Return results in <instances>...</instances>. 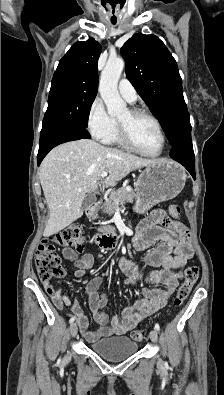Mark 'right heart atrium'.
I'll return each mask as SVG.
<instances>
[{"mask_svg":"<svg viewBox=\"0 0 224 395\" xmlns=\"http://www.w3.org/2000/svg\"><path fill=\"white\" fill-rule=\"evenodd\" d=\"M87 127L97 140H103L110 135L115 127V119L111 117L101 98L96 97L87 112Z\"/></svg>","mask_w":224,"mask_h":395,"instance_id":"d8ad5b80","label":"right heart atrium"}]
</instances>
